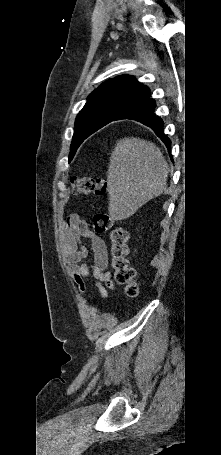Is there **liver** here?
Listing matches in <instances>:
<instances>
[{"instance_id":"1","label":"liver","mask_w":221,"mask_h":455,"mask_svg":"<svg viewBox=\"0 0 221 455\" xmlns=\"http://www.w3.org/2000/svg\"><path fill=\"white\" fill-rule=\"evenodd\" d=\"M169 166L150 141L128 137L116 142L107 172L108 211L124 220L167 189Z\"/></svg>"}]
</instances>
